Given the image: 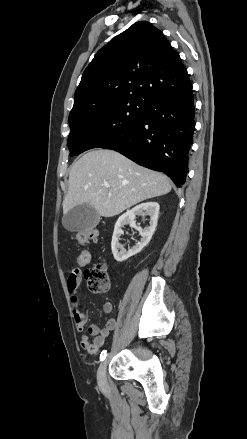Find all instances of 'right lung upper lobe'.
Instances as JSON below:
<instances>
[{
    "mask_svg": "<svg viewBox=\"0 0 247 439\" xmlns=\"http://www.w3.org/2000/svg\"><path fill=\"white\" fill-rule=\"evenodd\" d=\"M191 86L179 54L164 34L140 21L96 53L82 75L69 117L115 101L148 105Z\"/></svg>",
    "mask_w": 247,
    "mask_h": 439,
    "instance_id": "right-lung-upper-lobe-1",
    "label": "right lung upper lobe"
}]
</instances>
